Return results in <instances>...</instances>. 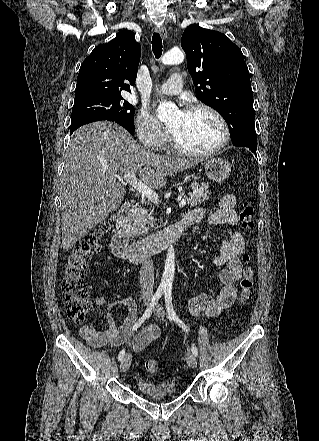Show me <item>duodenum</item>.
Segmentation results:
<instances>
[{"label": "duodenum", "mask_w": 319, "mask_h": 441, "mask_svg": "<svg viewBox=\"0 0 319 441\" xmlns=\"http://www.w3.org/2000/svg\"><path fill=\"white\" fill-rule=\"evenodd\" d=\"M135 207L134 200H127L119 209L116 216V230L111 240L112 253L118 258L128 259L132 263H140L149 256L166 248L170 243L179 239L186 225L180 221L164 232L151 235L143 240L129 244L130 217Z\"/></svg>", "instance_id": "obj_1"}]
</instances>
